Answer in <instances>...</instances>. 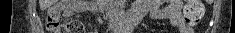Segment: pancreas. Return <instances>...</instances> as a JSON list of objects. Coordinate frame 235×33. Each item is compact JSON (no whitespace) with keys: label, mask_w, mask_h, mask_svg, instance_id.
<instances>
[{"label":"pancreas","mask_w":235,"mask_h":33,"mask_svg":"<svg viewBox=\"0 0 235 33\" xmlns=\"http://www.w3.org/2000/svg\"><path fill=\"white\" fill-rule=\"evenodd\" d=\"M99 1H101V3H102L103 5H107L108 2H109V0H99Z\"/></svg>","instance_id":"obj_1"}]
</instances>
